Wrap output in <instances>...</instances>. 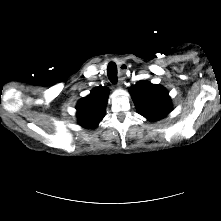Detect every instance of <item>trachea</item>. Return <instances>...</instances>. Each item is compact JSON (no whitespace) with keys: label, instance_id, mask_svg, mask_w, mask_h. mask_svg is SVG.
<instances>
[{"label":"trachea","instance_id":"trachea-1","mask_svg":"<svg viewBox=\"0 0 221 221\" xmlns=\"http://www.w3.org/2000/svg\"><path fill=\"white\" fill-rule=\"evenodd\" d=\"M107 75L112 83L117 82V66L114 62H110L107 67Z\"/></svg>","mask_w":221,"mask_h":221}]
</instances>
